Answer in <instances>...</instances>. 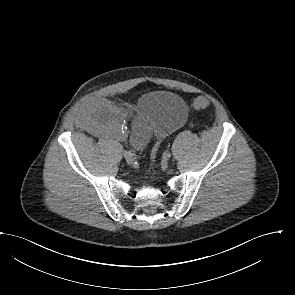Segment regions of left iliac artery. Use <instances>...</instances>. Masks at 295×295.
<instances>
[{
    "label": "left iliac artery",
    "mask_w": 295,
    "mask_h": 295,
    "mask_svg": "<svg viewBox=\"0 0 295 295\" xmlns=\"http://www.w3.org/2000/svg\"><path fill=\"white\" fill-rule=\"evenodd\" d=\"M164 156L167 157V158H169L171 156V154H170L169 151H166V152H164Z\"/></svg>",
    "instance_id": "obj_1"
}]
</instances>
